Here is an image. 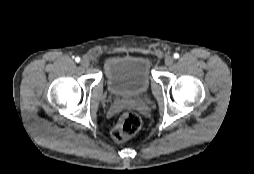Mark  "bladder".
<instances>
[{
  "label": "bladder",
  "instance_id": "bladder-1",
  "mask_svg": "<svg viewBox=\"0 0 254 174\" xmlns=\"http://www.w3.org/2000/svg\"><path fill=\"white\" fill-rule=\"evenodd\" d=\"M109 92L118 98H135L151 85L150 60L145 56H121L105 66Z\"/></svg>",
  "mask_w": 254,
  "mask_h": 174
}]
</instances>
